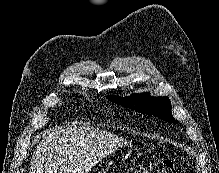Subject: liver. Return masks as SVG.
<instances>
[{"label":"liver","mask_w":219,"mask_h":173,"mask_svg":"<svg viewBox=\"0 0 219 173\" xmlns=\"http://www.w3.org/2000/svg\"><path fill=\"white\" fill-rule=\"evenodd\" d=\"M129 142L90 127L49 129L36 147L29 173H87L93 166Z\"/></svg>","instance_id":"liver-1"}]
</instances>
